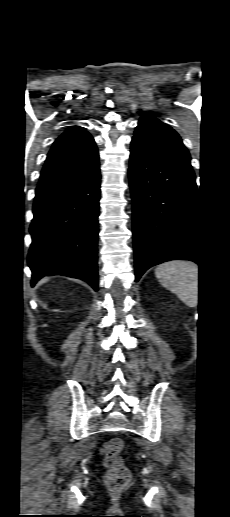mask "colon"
<instances>
[{
    "label": "colon",
    "instance_id": "5ec220e1",
    "mask_svg": "<svg viewBox=\"0 0 230 517\" xmlns=\"http://www.w3.org/2000/svg\"><path fill=\"white\" fill-rule=\"evenodd\" d=\"M123 448V441L116 437L107 441L101 450L107 468L106 485L112 491L123 489L131 480L130 471L120 456Z\"/></svg>",
    "mask_w": 230,
    "mask_h": 517
}]
</instances>
